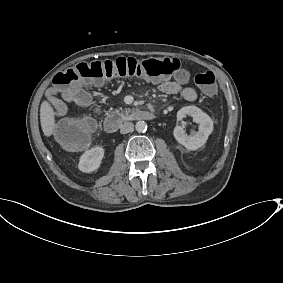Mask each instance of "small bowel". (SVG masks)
<instances>
[{
    "label": "small bowel",
    "mask_w": 283,
    "mask_h": 283,
    "mask_svg": "<svg viewBox=\"0 0 283 283\" xmlns=\"http://www.w3.org/2000/svg\"><path fill=\"white\" fill-rule=\"evenodd\" d=\"M189 82V73L185 70H179L173 80L158 82L157 88L165 94H180L184 99L193 101L198 94L195 88L187 85ZM60 91L56 87L50 88L46 95L56 116L62 117L67 113L66 102L58 97Z\"/></svg>",
    "instance_id": "small-bowel-1"
}]
</instances>
